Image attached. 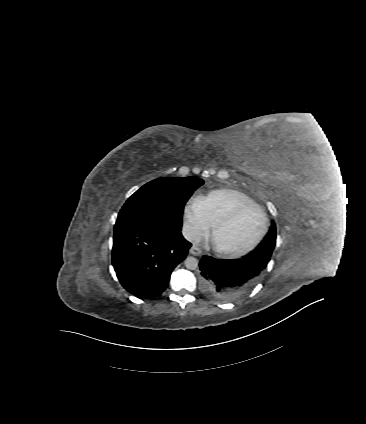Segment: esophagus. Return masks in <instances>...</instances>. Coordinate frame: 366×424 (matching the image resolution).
Returning <instances> with one entry per match:
<instances>
[{
  "label": "esophagus",
  "instance_id": "obj_1",
  "mask_svg": "<svg viewBox=\"0 0 366 424\" xmlns=\"http://www.w3.org/2000/svg\"><path fill=\"white\" fill-rule=\"evenodd\" d=\"M189 251L192 255H195V256H199L202 254V250L196 246H192Z\"/></svg>",
  "mask_w": 366,
  "mask_h": 424
}]
</instances>
